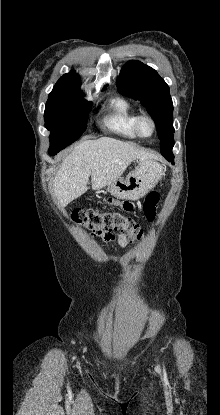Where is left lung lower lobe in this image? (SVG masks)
Masks as SVG:
<instances>
[{
  "label": "left lung lower lobe",
  "instance_id": "left-lung-lower-lobe-1",
  "mask_svg": "<svg viewBox=\"0 0 220 415\" xmlns=\"http://www.w3.org/2000/svg\"><path fill=\"white\" fill-rule=\"evenodd\" d=\"M169 162L174 164V155L173 154H164L163 155Z\"/></svg>",
  "mask_w": 220,
  "mask_h": 415
}]
</instances>
